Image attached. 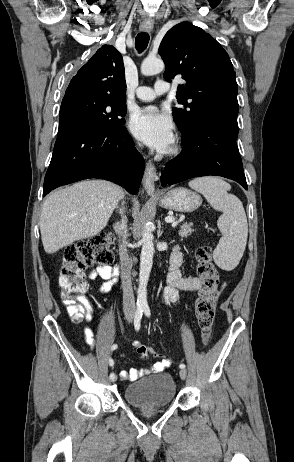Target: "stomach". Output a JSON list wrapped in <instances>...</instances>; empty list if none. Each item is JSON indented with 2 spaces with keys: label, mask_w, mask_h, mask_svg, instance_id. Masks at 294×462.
Returning <instances> with one entry per match:
<instances>
[{
  "label": "stomach",
  "mask_w": 294,
  "mask_h": 462,
  "mask_svg": "<svg viewBox=\"0 0 294 462\" xmlns=\"http://www.w3.org/2000/svg\"><path fill=\"white\" fill-rule=\"evenodd\" d=\"M202 204L201 197L188 189L175 188L159 200V205L178 212H193Z\"/></svg>",
  "instance_id": "stomach-1"
}]
</instances>
